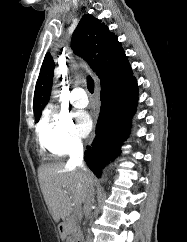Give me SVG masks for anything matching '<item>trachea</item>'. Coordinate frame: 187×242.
<instances>
[{
    "instance_id": "3493384b",
    "label": "trachea",
    "mask_w": 187,
    "mask_h": 242,
    "mask_svg": "<svg viewBox=\"0 0 187 242\" xmlns=\"http://www.w3.org/2000/svg\"><path fill=\"white\" fill-rule=\"evenodd\" d=\"M87 88H88V90H89L90 93H93L94 92V81L91 78V76H88L87 77Z\"/></svg>"
}]
</instances>
